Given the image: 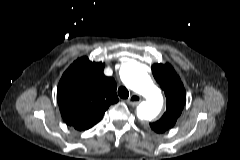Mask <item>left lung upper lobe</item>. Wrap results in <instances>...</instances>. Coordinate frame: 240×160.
<instances>
[{
  "instance_id": "5c2ea615",
  "label": "left lung upper lobe",
  "mask_w": 240,
  "mask_h": 160,
  "mask_svg": "<svg viewBox=\"0 0 240 160\" xmlns=\"http://www.w3.org/2000/svg\"><path fill=\"white\" fill-rule=\"evenodd\" d=\"M152 73L165 93L167 105L166 112L159 120L150 123V128L156 133H163L172 128L181 115L186 102V92L170 64H154Z\"/></svg>"
}]
</instances>
